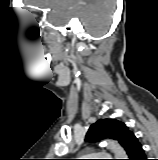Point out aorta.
Instances as JSON below:
<instances>
[{"mask_svg": "<svg viewBox=\"0 0 158 160\" xmlns=\"http://www.w3.org/2000/svg\"><path fill=\"white\" fill-rule=\"evenodd\" d=\"M107 147L111 150V152L114 154L115 159H126L127 154L123 147L115 140H107L105 142Z\"/></svg>", "mask_w": 158, "mask_h": 160, "instance_id": "obj_1", "label": "aorta"}]
</instances>
